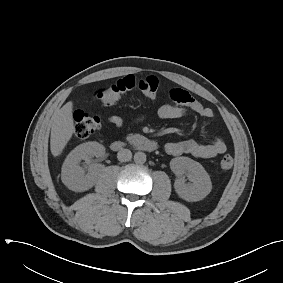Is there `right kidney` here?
<instances>
[{
	"label": "right kidney",
	"instance_id": "obj_1",
	"mask_svg": "<svg viewBox=\"0 0 283 283\" xmlns=\"http://www.w3.org/2000/svg\"><path fill=\"white\" fill-rule=\"evenodd\" d=\"M104 154L105 148L98 142H86L77 146L63 163L61 179L64 185L75 192H83L92 188L96 182L99 168L93 166L85 174L80 162L85 160L86 163H90L92 157H100Z\"/></svg>",
	"mask_w": 283,
	"mask_h": 283
}]
</instances>
